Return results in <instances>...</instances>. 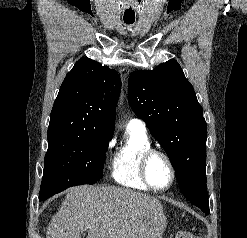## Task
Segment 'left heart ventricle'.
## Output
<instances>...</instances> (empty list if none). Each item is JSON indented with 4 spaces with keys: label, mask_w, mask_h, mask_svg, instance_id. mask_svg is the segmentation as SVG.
<instances>
[{
    "label": "left heart ventricle",
    "mask_w": 247,
    "mask_h": 238,
    "mask_svg": "<svg viewBox=\"0 0 247 238\" xmlns=\"http://www.w3.org/2000/svg\"><path fill=\"white\" fill-rule=\"evenodd\" d=\"M148 176L156 187H163L169 183L171 171L163 157L155 155L151 158L148 164Z\"/></svg>",
    "instance_id": "obj_1"
}]
</instances>
